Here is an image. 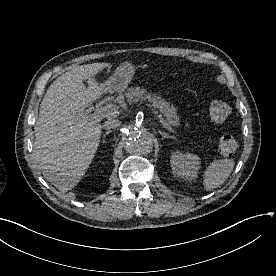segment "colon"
<instances>
[{"label":"colon","instance_id":"1","mask_svg":"<svg viewBox=\"0 0 276 276\" xmlns=\"http://www.w3.org/2000/svg\"><path fill=\"white\" fill-rule=\"evenodd\" d=\"M230 114V106L224 100H214L209 107L210 119L215 123L224 122ZM237 140L230 134H224L220 137L218 151L222 156L233 155L238 149Z\"/></svg>","mask_w":276,"mask_h":276}]
</instances>
